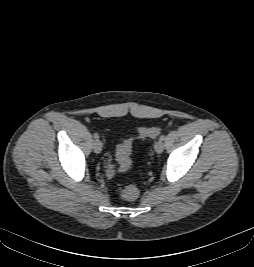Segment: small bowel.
Instances as JSON below:
<instances>
[{"label": "small bowel", "instance_id": "obj_1", "mask_svg": "<svg viewBox=\"0 0 254 267\" xmlns=\"http://www.w3.org/2000/svg\"><path fill=\"white\" fill-rule=\"evenodd\" d=\"M107 174H108V176H112L114 174V171H113V169L111 167H109L107 169Z\"/></svg>", "mask_w": 254, "mask_h": 267}]
</instances>
